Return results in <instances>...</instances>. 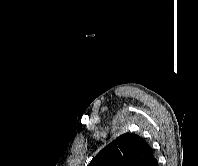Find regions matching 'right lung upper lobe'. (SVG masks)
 Masks as SVG:
<instances>
[{
	"mask_svg": "<svg viewBox=\"0 0 198 166\" xmlns=\"http://www.w3.org/2000/svg\"><path fill=\"white\" fill-rule=\"evenodd\" d=\"M153 150L140 136L126 133L104 147L88 166H150Z\"/></svg>",
	"mask_w": 198,
	"mask_h": 166,
	"instance_id": "1",
	"label": "right lung upper lobe"
}]
</instances>
